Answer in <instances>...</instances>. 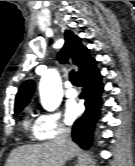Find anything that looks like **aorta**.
Wrapping results in <instances>:
<instances>
[{
  "label": "aorta",
  "instance_id": "obj_1",
  "mask_svg": "<svg viewBox=\"0 0 135 166\" xmlns=\"http://www.w3.org/2000/svg\"><path fill=\"white\" fill-rule=\"evenodd\" d=\"M41 104L44 109L54 111L62 101V88L59 74L48 71L42 76L39 84Z\"/></svg>",
  "mask_w": 135,
  "mask_h": 166
}]
</instances>
